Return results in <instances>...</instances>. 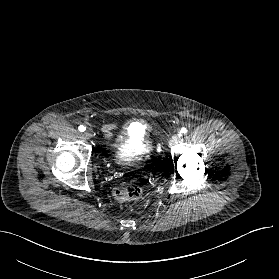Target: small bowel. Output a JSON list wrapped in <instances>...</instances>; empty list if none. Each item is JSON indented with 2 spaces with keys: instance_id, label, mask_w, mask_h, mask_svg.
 I'll use <instances>...</instances> for the list:
<instances>
[{
  "instance_id": "c3829d8e",
  "label": "small bowel",
  "mask_w": 279,
  "mask_h": 279,
  "mask_svg": "<svg viewBox=\"0 0 279 279\" xmlns=\"http://www.w3.org/2000/svg\"><path fill=\"white\" fill-rule=\"evenodd\" d=\"M117 129L118 126L115 123L105 124L102 126V132L107 140H111L113 138Z\"/></svg>"
}]
</instances>
